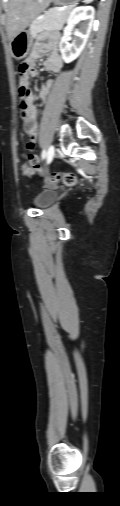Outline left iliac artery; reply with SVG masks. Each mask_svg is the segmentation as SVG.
<instances>
[{"label": "left iliac artery", "instance_id": "44dca946", "mask_svg": "<svg viewBox=\"0 0 120 506\" xmlns=\"http://www.w3.org/2000/svg\"><path fill=\"white\" fill-rule=\"evenodd\" d=\"M46 156H47V152H46V150L44 149V150L42 151V153H41V158H42V159H45V158H46Z\"/></svg>", "mask_w": 120, "mask_h": 506}]
</instances>
